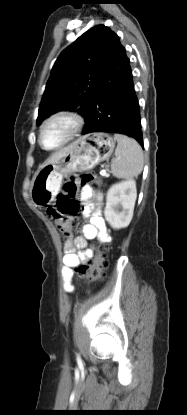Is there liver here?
Listing matches in <instances>:
<instances>
[{
  "mask_svg": "<svg viewBox=\"0 0 187 415\" xmlns=\"http://www.w3.org/2000/svg\"><path fill=\"white\" fill-rule=\"evenodd\" d=\"M68 150H69V146L53 153L52 156L45 162V164L57 162L67 153Z\"/></svg>",
  "mask_w": 187,
  "mask_h": 415,
  "instance_id": "liver-1",
  "label": "liver"
}]
</instances>
